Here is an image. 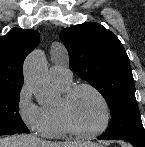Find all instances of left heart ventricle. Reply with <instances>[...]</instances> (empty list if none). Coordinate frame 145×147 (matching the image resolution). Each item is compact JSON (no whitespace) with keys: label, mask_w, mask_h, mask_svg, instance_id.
I'll return each instance as SVG.
<instances>
[{"label":"left heart ventricle","mask_w":145,"mask_h":147,"mask_svg":"<svg viewBox=\"0 0 145 147\" xmlns=\"http://www.w3.org/2000/svg\"><path fill=\"white\" fill-rule=\"evenodd\" d=\"M74 123L84 131L99 129L105 121V109L100 99L90 90H80L70 103Z\"/></svg>","instance_id":"b2bd125f"}]
</instances>
